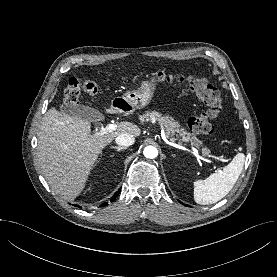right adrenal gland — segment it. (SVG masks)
<instances>
[{"label": "right adrenal gland", "instance_id": "obj_1", "mask_svg": "<svg viewBox=\"0 0 277 277\" xmlns=\"http://www.w3.org/2000/svg\"><path fill=\"white\" fill-rule=\"evenodd\" d=\"M111 148L115 149L117 152L126 149V147H121V146H112Z\"/></svg>", "mask_w": 277, "mask_h": 277}]
</instances>
